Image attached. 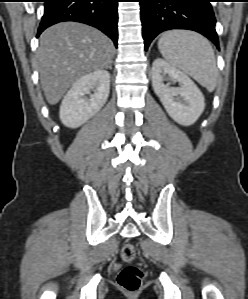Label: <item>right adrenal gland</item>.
I'll use <instances>...</instances> for the list:
<instances>
[{"mask_svg": "<svg viewBox=\"0 0 248 299\" xmlns=\"http://www.w3.org/2000/svg\"><path fill=\"white\" fill-rule=\"evenodd\" d=\"M107 68L112 69V65H111V63L109 64V66H108Z\"/></svg>", "mask_w": 248, "mask_h": 299, "instance_id": "right-adrenal-gland-1", "label": "right adrenal gland"}]
</instances>
